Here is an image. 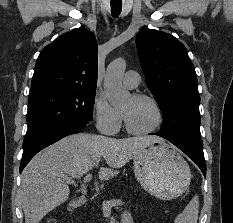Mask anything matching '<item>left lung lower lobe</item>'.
I'll return each mask as SVG.
<instances>
[{
    "instance_id": "obj_1",
    "label": "left lung lower lobe",
    "mask_w": 233,
    "mask_h": 223,
    "mask_svg": "<svg viewBox=\"0 0 233 223\" xmlns=\"http://www.w3.org/2000/svg\"><path fill=\"white\" fill-rule=\"evenodd\" d=\"M153 135L161 136L175 146H177L180 150H182L187 156H189L201 169L204 177H206V164L204 160L203 153V143L201 140L182 138V137H170L166 135H162L161 133H152Z\"/></svg>"
}]
</instances>
